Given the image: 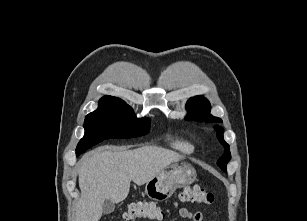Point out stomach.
Returning a JSON list of instances; mask_svg holds the SVG:
<instances>
[{
	"instance_id": "0dacf381",
	"label": "stomach",
	"mask_w": 307,
	"mask_h": 221,
	"mask_svg": "<svg viewBox=\"0 0 307 221\" xmlns=\"http://www.w3.org/2000/svg\"><path fill=\"white\" fill-rule=\"evenodd\" d=\"M195 180L196 172L190 164L173 163L146 183L145 193L152 200H166L177 188L191 184Z\"/></svg>"
}]
</instances>
